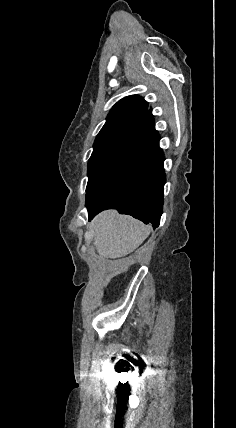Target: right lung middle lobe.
Here are the masks:
<instances>
[{
  "label": "right lung middle lobe",
  "mask_w": 236,
  "mask_h": 428,
  "mask_svg": "<svg viewBox=\"0 0 236 428\" xmlns=\"http://www.w3.org/2000/svg\"><path fill=\"white\" fill-rule=\"evenodd\" d=\"M144 147V143H129L92 154L88 161L86 205L108 191L128 171Z\"/></svg>",
  "instance_id": "obj_1"
}]
</instances>
